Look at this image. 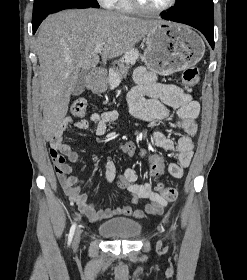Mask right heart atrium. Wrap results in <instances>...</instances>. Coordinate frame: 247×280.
<instances>
[{
	"instance_id": "right-heart-atrium-1",
	"label": "right heart atrium",
	"mask_w": 247,
	"mask_h": 280,
	"mask_svg": "<svg viewBox=\"0 0 247 280\" xmlns=\"http://www.w3.org/2000/svg\"><path fill=\"white\" fill-rule=\"evenodd\" d=\"M98 2L105 7H112L114 6L116 0H98Z\"/></svg>"
}]
</instances>
